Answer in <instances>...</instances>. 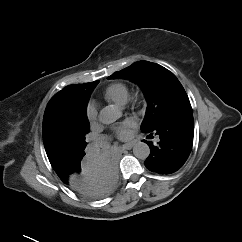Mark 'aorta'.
Here are the masks:
<instances>
[{
	"instance_id": "762f6f07",
	"label": "aorta",
	"mask_w": 242,
	"mask_h": 242,
	"mask_svg": "<svg viewBox=\"0 0 242 242\" xmlns=\"http://www.w3.org/2000/svg\"><path fill=\"white\" fill-rule=\"evenodd\" d=\"M122 116V112L113 105L101 109L98 119L103 124L114 123ZM133 154L136 158L145 160L150 155V148L144 142H137L133 147Z\"/></svg>"
}]
</instances>
